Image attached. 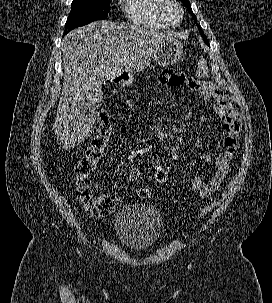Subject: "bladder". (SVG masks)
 Returning a JSON list of instances; mask_svg holds the SVG:
<instances>
[{
	"label": "bladder",
	"instance_id": "31cf9c89",
	"mask_svg": "<svg viewBox=\"0 0 272 303\" xmlns=\"http://www.w3.org/2000/svg\"><path fill=\"white\" fill-rule=\"evenodd\" d=\"M115 231L127 248L134 251L146 250L160 238L163 232V220L154 207L132 203L118 211Z\"/></svg>",
	"mask_w": 272,
	"mask_h": 303
}]
</instances>
